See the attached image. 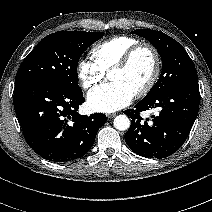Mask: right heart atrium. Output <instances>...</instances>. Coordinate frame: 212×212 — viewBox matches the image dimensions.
<instances>
[{
	"instance_id": "1",
	"label": "right heart atrium",
	"mask_w": 212,
	"mask_h": 212,
	"mask_svg": "<svg viewBox=\"0 0 212 212\" xmlns=\"http://www.w3.org/2000/svg\"><path fill=\"white\" fill-rule=\"evenodd\" d=\"M76 74L83 89L95 86L105 77V72L89 58H81L76 65Z\"/></svg>"
}]
</instances>
